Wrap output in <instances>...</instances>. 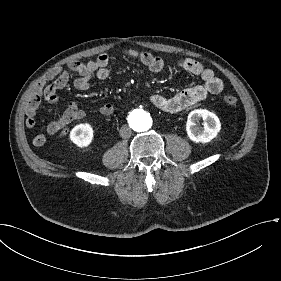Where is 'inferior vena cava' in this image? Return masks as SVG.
<instances>
[{
    "label": "inferior vena cava",
    "instance_id": "1",
    "mask_svg": "<svg viewBox=\"0 0 281 281\" xmlns=\"http://www.w3.org/2000/svg\"><path fill=\"white\" fill-rule=\"evenodd\" d=\"M119 135L122 138H129L131 136V129H130V127L127 126V125L121 126L120 130H119Z\"/></svg>",
    "mask_w": 281,
    "mask_h": 281
}]
</instances>
